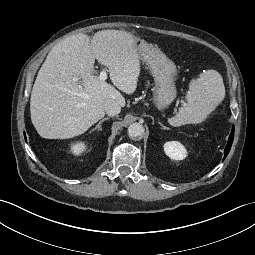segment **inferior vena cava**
Returning a JSON list of instances; mask_svg holds the SVG:
<instances>
[{"label":"inferior vena cava","instance_id":"602c4592","mask_svg":"<svg viewBox=\"0 0 255 255\" xmlns=\"http://www.w3.org/2000/svg\"><path fill=\"white\" fill-rule=\"evenodd\" d=\"M104 110L107 115L109 116H115L120 113L121 107L119 104L114 100H107L103 104Z\"/></svg>","mask_w":255,"mask_h":255}]
</instances>
